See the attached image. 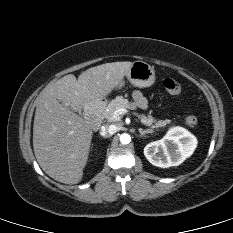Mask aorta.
Here are the masks:
<instances>
[{"label": "aorta", "instance_id": "aorta-1", "mask_svg": "<svg viewBox=\"0 0 233 233\" xmlns=\"http://www.w3.org/2000/svg\"><path fill=\"white\" fill-rule=\"evenodd\" d=\"M120 142L124 145L129 144L131 142V136L127 133H123L120 135Z\"/></svg>", "mask_w": 233, "mask_h": 233}]
</instances>
